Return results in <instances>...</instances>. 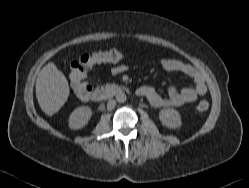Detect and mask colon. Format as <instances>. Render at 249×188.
<instances>
[{
    "instance_id": "obj_1",
    "label": "colon",
    "mask_w": 249,
    "mask_h": 188,
    "mask_svg": "<svg viewBox=\"0 0 249 188\" xmlns=\"http://www.w3.org/2000/svg\"><path fill=\"white\" fill-rule=\"evenodd\" d=\"M123 54L116 49L97 51L91 54H83L70 63V82L77 98L87 100L91 93V86L86 80L87 71L100 63H115L123 59ZM209 104L201 100L197 104V111H207Z\"/></svg>"
}]
</instances>
